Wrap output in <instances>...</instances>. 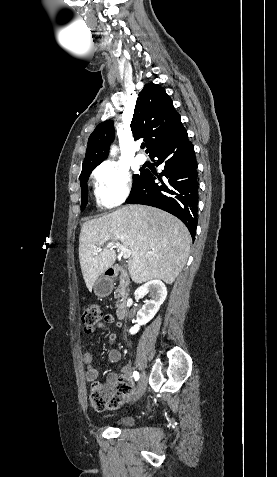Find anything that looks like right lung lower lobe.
Wrapping results in <instances>:
<instances>
[{
  "instance_id": "1",
  "label": "right lung lower lobe",
  "mask_w": 277,
  "mask_h": 477,
  "mask_svg": "<svg viewBox=\"0 0 277 477\" xmlns=\"http://www.w3.org/2000/svg\"><path fill=\"white\" fill-rule=\"evenodd\" d=\"M149 156L157 157L155 164L164 165V170L157 174L146 169L126 202L157 207L175 215L187 226L194 240L198 210L197 163L186 129L155 148Z\"/></svg>"
}]
</instances>
